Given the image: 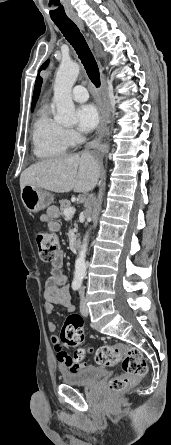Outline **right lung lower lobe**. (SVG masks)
Masks as SVG:
<instances>
[{"mask_svg":"<svg viewBox=\"0 0 171 445\" xmlns=\"http://www.w3.org/2000/svg\"><path fill=\"white\" fill-rule=\"evenodd\" d=\"M102 150H103L102 147H98V148H97V151H98V152H101Z\"/></svg>","mask_w":171,"mask_h":445,"instance_id":"98d812e1","label":"right lung lower lobe"}]
</instances>
